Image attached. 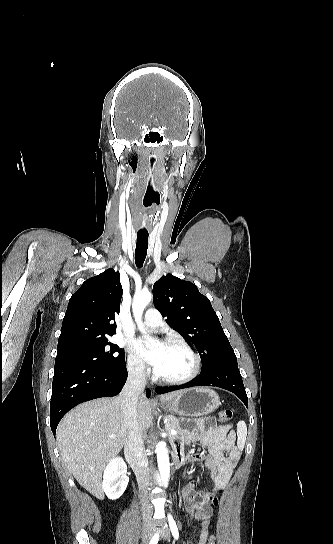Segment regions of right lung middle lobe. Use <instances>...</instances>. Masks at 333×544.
Masks as SVG:
<instances>
[{"label":"right lung middle lobe","mask_w":333,"mask_h":544,"mask_svg":"<svg viewBox=\"0 0 333 544\" xmlns=\"http://www.w3.org/2000/svg\"><path fill=\"white\" fill-rule=\"evenodd\" d=\"M56 358H76L108 369L125 365L124 350L112 344L108 338L57 349Z\"/></svg>","instance_id":"right-lung-middle-lobe-1"}]
</instances>
